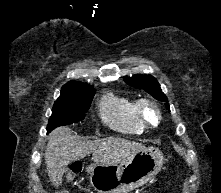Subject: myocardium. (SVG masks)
<instances>
[{"mask_svg": "<svg viewBox=\"0 0 221 193\" xmlns=\"http://www.w3.org/2000/svg\"><path fill=\"white\" fill-rule=\"evenodd\" d=\"M137 115L143 125L157 127L162 120V113L158 103L152 99L144 98L136 103Z\"/></svg>", "mask_w": 221, "mask_h": 193, "instance_id": "myocardium-1", "label": "myocardium"}]
</instances>
